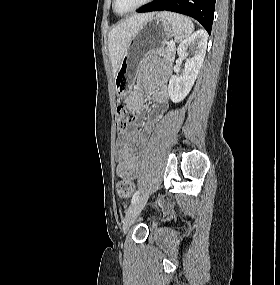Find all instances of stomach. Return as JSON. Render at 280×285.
<instances>
[{
    "label": "stomach",
    "mask_w": 280,
    "mask_h": 285,
    "mask_svg": "<svg viewBox=\"0 0 280 285\" xmlns=\"http://www.w3.org/2000/svg\"><path fill=\"white\" fill-rule=\"evenodd\" d=\"M174 34L172 25L157 15L147 20L130 41L115 75L119 97H126L138 73L142 59L155 49L163 47Z\"/></svg>",
    "instance_id": "obj_1"
}]
</instances>
